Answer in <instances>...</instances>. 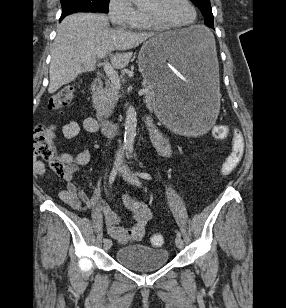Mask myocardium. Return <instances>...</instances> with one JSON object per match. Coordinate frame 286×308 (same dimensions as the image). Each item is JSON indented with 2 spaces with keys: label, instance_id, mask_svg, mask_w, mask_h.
Masks as SVG:
<instances>
[{
  "label": "myocardium",
  "instance_id": "obj_1",
  "mask_svg": "<svg viewBox=\"0 0 286 308\" xmlns=\"http://www.w3.org/2000/svg\"><path fill=\"white\" fill-rule=\"evenodd\" d=\"M185 2L189 5V7L192 9L194 17L191 22L187 24H171L168 23L152 14L145 13V17L148 20L149 23H151L153 26H155L158 29H167V30H173V29H186L194 26L197 23L198 20V12L191 0H185Z\"/></svg>",
  "mask_w": 286,
  "mask_h": 308
}]
</instances>
